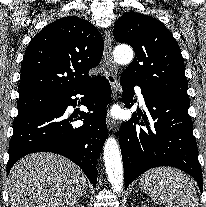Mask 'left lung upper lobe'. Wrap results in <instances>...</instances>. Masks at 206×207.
<instances>
[{"instance_id": "obj_1", "label": "left lung upper lobe", "mask_w": 206, "mask_h": 207, "mask_svg": "<svg viewBox=\"0 0 206 207\" xmlns=\"http://www.w3.org/2000/svg\"><path fill=\"white\" fill-rule=\"evenodd\" d=\"M114 37L135 51L122 76L143 89L189 99L181 50L164 24L151 16L127 12L117 20Z\"/></svg>"}]
</instances>
